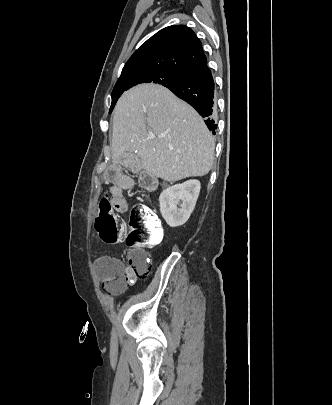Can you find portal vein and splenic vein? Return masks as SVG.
Returning <instances> with one entry per match:
<instances>
[{
  "label": "portal vein and splenic vein",
  "mask_w": 332,
  "mask_h": 405,
  "mask_svg": "<svg viewBox=\"0 0 332 405\" xmlns=\"http://www.w3.org/2000/svg\"><path fill=\"white\" fill-rule=\"evenodd\" d=\"M150 138H151V139H154V138H155V136H154L153 134H151V135H150Z\"/></svg>",
  "instance_id": "1"
}]
</instances>
